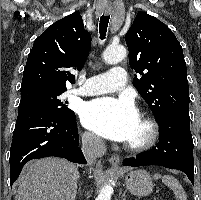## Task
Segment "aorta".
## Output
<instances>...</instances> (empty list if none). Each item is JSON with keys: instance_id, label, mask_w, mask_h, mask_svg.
<instances>
[{"instance_id": "762f6f07", "label": "aorta", "mask_w": 201, "mask_h": 200, "mask_svg": "<svg viewBox=\"0 0 201 200\" xmlns=\"http://www.w3.org/2000/svg\"><path fill=\"white\" fill-rule=\"evenodd\" d=\"M127 51L124 46H110L103 53V59L108 64H116L126 57ZM113 188L105 185L99 192L96 200H111Z\"/></svg>"}]
</instances>
